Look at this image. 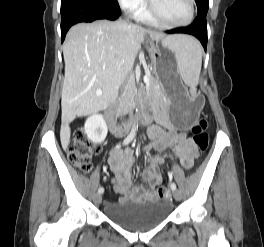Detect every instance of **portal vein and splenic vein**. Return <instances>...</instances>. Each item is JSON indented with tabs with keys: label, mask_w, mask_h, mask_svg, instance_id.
<instances>
[{
	"label": "portal vein and splenic vein",
	"mask_w": 264,
	"mask_h": 247,
	"mask_svg": "<svg viewBox=\"0 0 264 247\" xmlns=\"http://www.w3.org/2000/svg\"><path fill=\"white\" fill-rule=\"evenodd\" d=\"M149 81H150V79H149L148 75H145L144 76V82L145 83H149ZM96 94H97V96H101L102 95V93L100 91H97Z\"/></svg>",
	"instance_id": "1"
}]
</instances>
